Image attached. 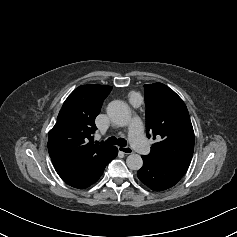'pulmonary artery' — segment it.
<instances>
[{
	"instance_id": "1",
	"label": "pulmonary artery",
	"mask_w": 237,
	"mask_h": 237,
	"mask_svg": "<svg viewBox=\"0 0 237 237\" xmlns=\"http://www.w3.org/2000/svg\"><path fill=\"white\" fill-rule=\"evenodd\" d=\"M129 141L131 146L141 154H147L150 151V147L143 135L142 121L137 117L133 118L130 124Z\"/></svg>"
}]
</instances>
